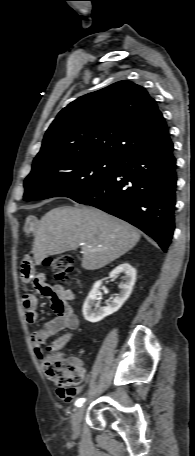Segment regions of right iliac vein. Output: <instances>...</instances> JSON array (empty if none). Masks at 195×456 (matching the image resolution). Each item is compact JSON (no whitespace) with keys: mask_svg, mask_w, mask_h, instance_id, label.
I'll return each instance as SVG.
<instances>
[{"mask_svg":"<svg viewBox=\"0 0 195 456\" xmlns=\"http://www.w3.org/2000/svg\"><path fill=\"white\" fill-rule=\"evenodd\" d=\"M84 413V406H79L75 409L73 415H72V430L74 436H78L80 432V422L82 420Z\"/></svg>","mask_w":195,"mask_h":456,"instance_id":"1","label":"right iliac vein"}]
</instances>
